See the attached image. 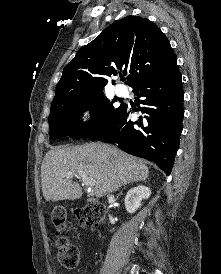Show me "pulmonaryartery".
Here are the masks:
<instances>
[{"label": "pulmonary artery", "instance_id": "pulmonary-artery-1", "mask_svg": "<svg viewBox=\"0 0 221 274\" xmlns=\"http://www.w3.org/2000/svg\"><path fill=\"white\" fill-rule=\"evenodd\" d=\"M115 91L118 96H125L127 94L126 88L122 85L117 86Z\"/></svg>", "mask_w": 221, "mask_h": 274}]
</instances>
